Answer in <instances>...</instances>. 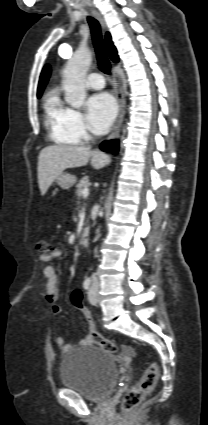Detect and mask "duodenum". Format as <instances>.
Masks as SVG:
<instances>
[{
	"label": "duodenum",
	"mask_w": 208,
	"mask_h": 425,
	"mask_svg": "<svg viewBox=\"0 0 208 425\" xmlns=\"http://www.w3.org/2000/svg\"><path fill=\"white\" fill-rule=\"evenodd\" d=\"M80 244L83 246H87L89 244V233L87 231H83L80 235Z\"/></svg>",
	"instance_id": "duodenum-1"
}]
</instances>
